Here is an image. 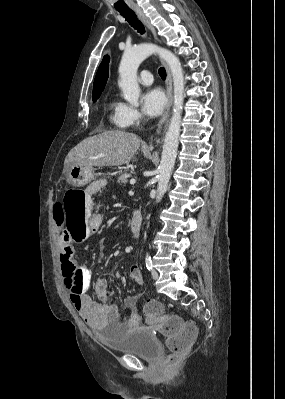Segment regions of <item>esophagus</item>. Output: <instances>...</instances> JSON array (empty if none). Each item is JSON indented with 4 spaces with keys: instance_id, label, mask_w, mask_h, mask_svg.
<instances>
[{
    "instance_id": "esophagus-1",
    "label": "esophagus",
    "mask_w": 285,
    "mask_h": 399,
    "mask_svg": "<svg viewBox=\"0 0 285 399\" xmlns=\"http://www.w3.org/2000/svg\"><path fill=\"white\" fill-rule=\"evenodd\" d=\"M134 10V12L137 14L138 18L141 20V22L148 28V30L153 34V36L155 37V39H157L156 36V31L153 27V25L150 23L149 19L146 17V15L144 14V12L142 11V9L139 6H135L132 8ZM163 65L165 66L166 69V74H167V79H166V88H167V99H168V105H167V111L165 112L164 116L162 117L156 134H159L161 132V129L163 127V124L166 122L168 123L169 121V116H170V107L172 105L173 102V96H172V77H171V73L169 70L168 65L166 64V62L164 60H161ZM153 143V138L150 140L149 142V146H151Z\"/></svg>"
}]
</instances>
